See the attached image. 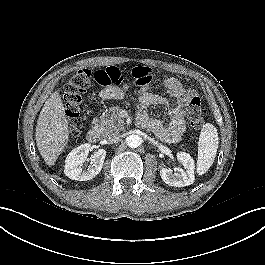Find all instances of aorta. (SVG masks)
<instances>
[{
  "mask_svg": "<svg viewBox=\"0 0 265 265\" xmlns=\"http://www.w3.org/2000/svg\"><path fill=\"white\" fill-rule=\"evenodd\" d=\"M126 142L130 148H137L141 144V139L137 135H130L127 137Z\"/></svg>",
  "mask_w": 265,
  "mask_h": 265,
  "instance_id": "762f6f07",
  "label": "aorta"
}]
</instances>
